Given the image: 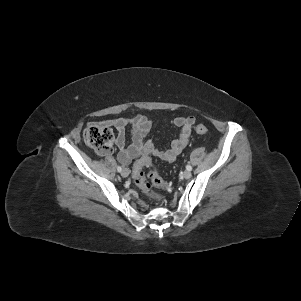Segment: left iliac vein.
Returning <instances> with one entry per match:
<instances>
[{"instance_id": "4c4485c4", "label": "left iliac vein", "mask_w": 301, "mask_h": 301, "mask_svg": "<svg viewBox=\"0 0 301 301\" xmlns=\"http://www.w3.org/2000/svg\"><path fill=\"white\" fill-rule=\"evenodd\" d=\"M183 175H184V178H185V179H190L191 176H192V174H191L190 171H185Z\"/></svg>"}]
</instances>
